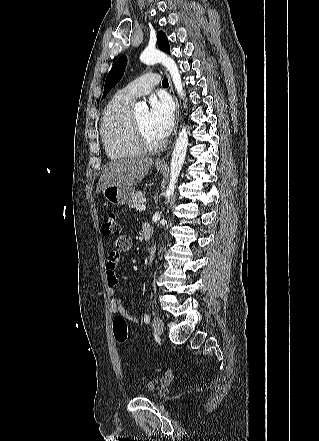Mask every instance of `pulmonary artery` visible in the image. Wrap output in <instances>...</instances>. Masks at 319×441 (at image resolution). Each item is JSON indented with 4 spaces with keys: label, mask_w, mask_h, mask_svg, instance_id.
<instances>
[{
    "label": "pulmonary artery",
    "mask_w": 319,
    "mask_h": 441,
    "mask_svg": "<svg viewBox=\"0 0 319 441\" xmlns=\"http://www.w3.org/2000/svg\"><path fill=\"white\" fill-rule=\"evenodd\" d=\"M159 83L158 74H145L120 90L119 95L127 100L135 101L138 97L148 94Z\"/></svg>",
    "instance_id": "e3ab8cb5"
}]
</instances>
